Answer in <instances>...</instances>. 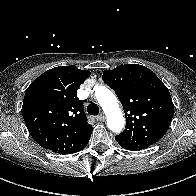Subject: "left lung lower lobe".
Returning a JSON list of instances; mask_svg holds the SVG:
<instances>
[{
    "label": "left lung lower lobe",
    "instance_id": "left-lung-lower-lobe-1",
    "mask_svg": "<svg viewBox=\"0 0 196 196\" xmlns=\"http://www.w3.org/2000/svg\"><path fill=\"white\" fill-rule=\"evenodd\" d=\"M124 149H126V150H132L131 148H129V147H127V146H124V145H121ZM132 151H134V150H132Z\"/></svg>",
    "mask_w": 196,
    "mask_h": 196
}]
</instances>
